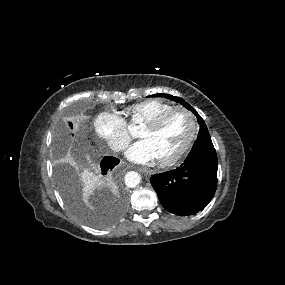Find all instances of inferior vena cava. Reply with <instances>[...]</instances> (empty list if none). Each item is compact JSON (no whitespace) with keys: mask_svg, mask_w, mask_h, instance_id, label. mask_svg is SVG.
Listing matches in <instances>:
<instances>
[{"mask_svg":"<svg viewBox=\"0 0 285 285\" xmlns=\"http://www.w3.org/2000/svg\"><path fill=\"white\" fill-rule=\"evenodd\" d=\"M125 147L122 145V144H119V143H117V144H115L114 146H113V150L114 151H120V150H123Z\"/></svg>","mask_w":285,"mask_h":285,"instance_id":"1","label":"inferior vena cava"}]
</instances>
